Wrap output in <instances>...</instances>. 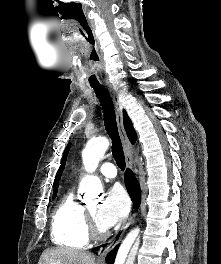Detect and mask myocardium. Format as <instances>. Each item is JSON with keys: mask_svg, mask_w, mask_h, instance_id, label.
Wrapping results in <instances>:
<instances>
[{"mask_svg": "<svg viewBox=\"0 0 221 264\" xmlns=\"http://www.w3.org/2000/svg\"><path fill=\"white\" fill-rule=\"evenodd\" d=\"M85 214H86L89 234L94 238L103 237L106 233L105 229L101 228L98 225L94 215L88 209H85Z\"/></svg>", "mask_w": 221, "mask_h": 264, "instance_id": "1", "label": "myocardium"}]
</instances>
